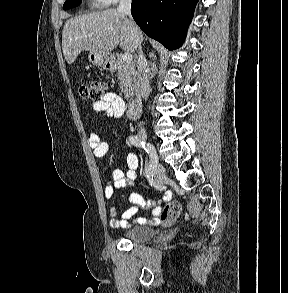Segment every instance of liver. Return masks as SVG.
I'll return each mask as SVG.
<instances>
[{"instance_id":"6515ba94","label":"liver","mask_w":288,"mask_h":293,"mask_svg":"<svg viewBox=\"0 0 288 293\" xmlns=\"http://www.w3.org/2000/svg\"><path fill=\"white\" fill-rule=\"evenodd\" d=\"M118 45L130 54L138 47L128 18L116 9L79 15L64 25L62 50L68 64L74 63L82 51L109 55Z\"/></svg>"}]
</instances>
